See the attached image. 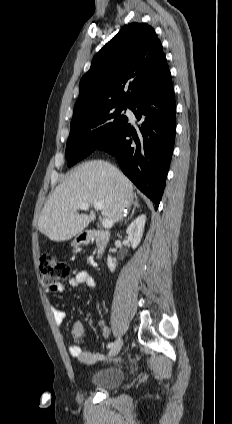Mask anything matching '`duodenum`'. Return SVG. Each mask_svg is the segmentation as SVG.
I'll return each instance as SVG.
<instances>
[{
    "instance_id": "duodenum-1",
    "label": "duodenum",
    "mask_w": 232,
    "mask_h": 424,
    "mask_svg": "<svg viewBox=\"0 0 232 424\" xmlns=\"http://www.w3.org/2000/svg\"><path fill=\"white\" fill-rule=\"evenodd\" d=\"M110 239V232L108 230L93 229L84 234L86 243L95 242V251L97 258H101L105 252Z\"/></svg>"
}]
</instances>
